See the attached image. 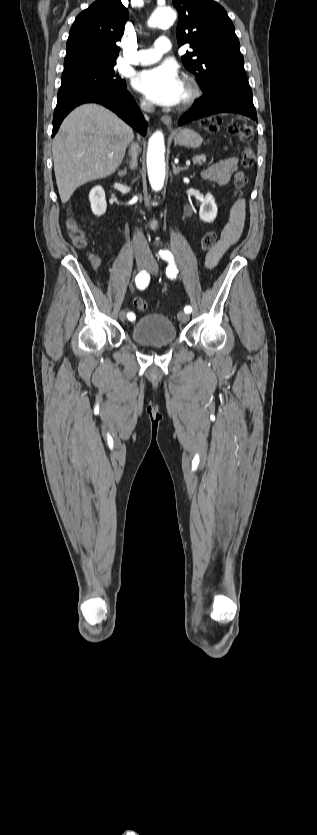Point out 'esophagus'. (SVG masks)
Here are the masks:
<instances>
[{
  "mask_svg": "<svg viewBox=\"0 0 317 835\" xmlns=\"http://www.w3.org/2000/svg\"><path fill=\"white\" fill-rule=\"evenodd\" d=\"M161 120H162V122L164 123V125H166V127H167L168 129H171L172 119H171V117H170L169 115H163V116L161 117Z\"/></svg>",
  "mask_w": 317,
  "mask_h": 835,
  "instance_id": "34e87169",
  "label": "esophagus"
}]
</instances>
